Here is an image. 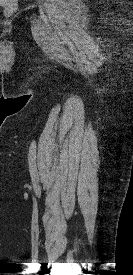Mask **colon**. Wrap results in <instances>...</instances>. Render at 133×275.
<instances>
[{
	"instance_id": "obj_1",
	"label": "colon",
	"mask_w": 133,
	"mask_h": 275,
	"mask_svg": "<svg viewBox=\"0 0 133 275\" xmlns=\"http://www.w3.org/2000/svg\"><path fill=\"white\" fill-rule=\"evenodd\" d=\"M1 5L7 15L13 14L17 8L16 0H3Z\"/></svg>"
}]
</instances>
